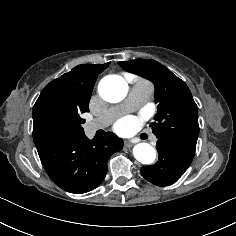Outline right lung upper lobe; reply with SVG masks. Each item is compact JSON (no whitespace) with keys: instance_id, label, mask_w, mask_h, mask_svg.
<instances>
[{"instance_id":"right-lung-upper-lobe-1","label":"right lung upper lobe","mask_w":236,"mask_h":236,"mask_svg":"<svg viewBox=\"0 0 236 236\" xmlns=\"http://www.w3.org/2000/svg\"><path fill=\"white\" fill-rule=\"evenodd\" d=\"M109 64L78 65L51 81L42 90L33 107V122L37 121L45 109L72 110L88 107L97 76Z\"/></svg>"}]
</instances>
